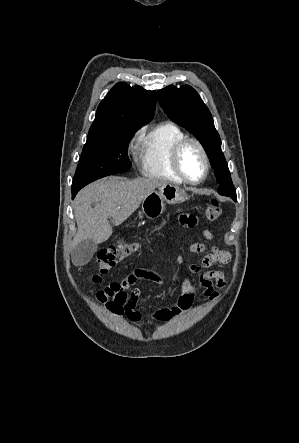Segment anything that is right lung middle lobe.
I'll list each match as a JSON object with an SVG mask.
<instances>
[{
  "mask_svg": "<svg viewBox=\"0 0 299 443\" xmlns=\"http://www.w3.org/2000/svg\"><path fill=\"white\" fill-rule=\"evenodd\" d=\"M139 128H116L88 135L72 190H80L99 178L131 168L128 143Z\"/></svg>",
  "mask_w": 299,
  "mask_h": 443,
  "instance_id": "dd1d6c3e",
  "label": "right lung middle lobe"
}]
</instances>
